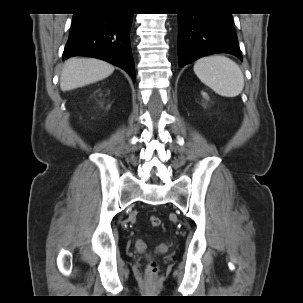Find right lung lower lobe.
<instances>
[{
	"label": "right lung lower lobe",
	"mask_w": 303,
	"mask_h": 303,
	"mask_svg": "<svg viewBox=\"0 0 303 303\" xmlns=\"http://www.w3.org/2000/svg\"><path fill=\"white\" fill-rule=\"evenodd\" d=\"M132 13L94 8L74 14L63 60L84 55L112 63L130 74L135 81L130 47Z\"/></svg>",
	"instance_id": "98d812e1"
}]
</instances>
